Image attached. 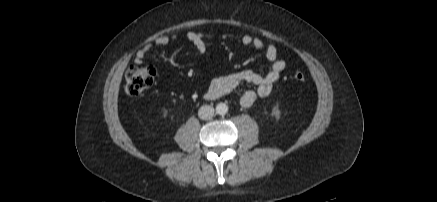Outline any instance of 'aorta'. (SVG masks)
<instances>
[{"label":"aorta","mask_w":437,"mask_h":202,"mask_svg":"<svg viewBox=\"0 0 437 202\" xmlns=\"http://www.w3.org/2000/svg\"><path fill=\"white\" fill-rule=\"evenodd\" d=\"M228 112V106L225 103H218L216 105V113L219 115H225Z\"/></svg>","instance_id":"1"}]
</instances>
